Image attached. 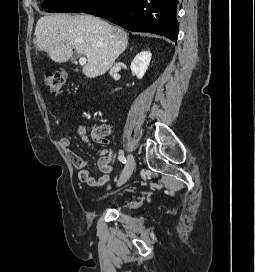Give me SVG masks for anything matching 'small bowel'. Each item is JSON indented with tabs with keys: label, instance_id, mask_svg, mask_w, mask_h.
<instances>
[{
	"label": "small bowel",
	"instance_id": "c3829d8e",
	"mask_svg": "<svg viewBox=\"0 0 255 272\" xmlns=\"http://www.w3.org/2000/svg\"><path fill=\"white\" fill-rule=\"evenodd\" d=\"M77 133L86 147L99 156L97 163L98 168L104 173V175L99 178L91 176L87 162L73 150L71 141L68 138H62L60 140V146L68 160L76 169H78V178L82 183L92 187L103 186L110 180V173L114 170V166L112 164L114 159L113 151L106 148H97L88 136L85 126H80L77 129Z\"/></svg>",
	"mask_w": 255,
	"mask_h": 272
}]
</instances>
